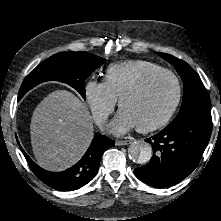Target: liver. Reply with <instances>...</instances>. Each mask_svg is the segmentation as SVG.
Wrapping results in <instances>:
<instances>
[{
    "instance_id": "6515ba94",
    "label": "liver",
    "mask_w": 221,
    "mask_h": 221,
    "mask_svg": "<svg viewBox=\"0 0 221 221\" xmlns=\"http://www.w3.org/2000/svg\"><path fill=\"white\" fill-rule=\"evenodd\" d=\"M30 135L38 165L49 171H62L87 151L94 135L92 117L73 93L56 90L35 108Z\"/></svg>"
}]
</instances>
